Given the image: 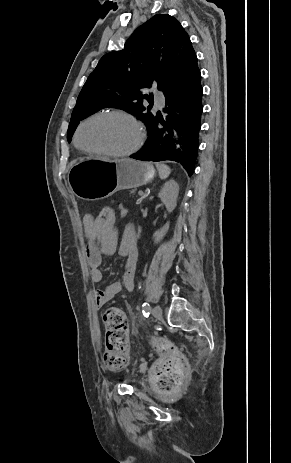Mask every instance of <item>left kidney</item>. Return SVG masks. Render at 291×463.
<instances>
[{
    "label": "left kidney",
    "instance_id": "left-kidney-1",
    "mask_svg": "<svg viewBox=\"0 0 291 463\" xmlns=\"http://www.w3.org/2000/svg\"><path fill=\"white\" fill-rule=\"evenodd\" d=\"M179 193L178 183L174 180H171L163 185L161 191L159 192V198L161 202L166 206L168 212H172L177 205V197ZM169 229V224L163 226L160 230L156 231L153 234L154 241L156 243L160 242L163 237L166 235Z\"/></svg>",
    "mask_w": 291,
    "mask_h": 463
}]
</instances>
